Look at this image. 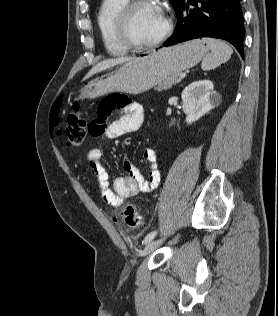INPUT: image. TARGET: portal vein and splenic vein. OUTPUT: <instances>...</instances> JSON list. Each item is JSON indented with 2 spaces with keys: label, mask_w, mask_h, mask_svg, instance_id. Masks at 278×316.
I'll use <instances>...</instances> for the list:
<instances>
[{
  "label": "portal vein and splenic vein",
  "mask_w": 278,
  "mask_h": 316,
  "mask_svg": "<svg viewBox=\"0 0 278 316\" xmlns=\"http://www.w3.org/2000/svg\"><path fill=\"white\" fill-rule=\"evenodd\" d=\"M185 77H186V73H181V74H180V78H181V79H183V78H185Z\"/></svg>",
  "instance_id": "portal-vein-and-splenic-vein-1"
}]
</instances>
